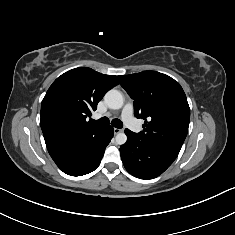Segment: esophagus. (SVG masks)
I'll use <instances>...</instances> for the list:
<instances>
[{
  "mask_svg": "<svg viewBox=\"0 0 235 235\" xmlns=\"http://www.w3.org/2000/svg\"><path fill=\"white\" fill-rule=\"evenodd\" d=\"M123 130L122 129H119V128H114V133L115 134H118L120 132H122Z\"/></svg>",
  "mask_w": 235,
  "mask_h": 235,
  "instance_id": "obj_1",
  "label": "esophagus"
}]
</instances>
